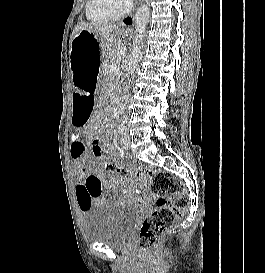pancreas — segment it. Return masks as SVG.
<instances>
[{
  "label": "pancreas",
  "instance_id": "pancreas-1",
  "mask_svg": "<svg viewBox=\"0 0 265 273\" xmlns=\"http://www.w3.org/2000/svg\"><path fill=\"white\" fill-rule=\"evenodd\" d=\"M123 54L119 52V50H112L110 51L104 58L101 71L103 75H107L110 73V69L113 66H117L120 62L121 56Z\"/></svg>",
  "mask_w": 265,
  "mask_h": 273
}]
</instances>
